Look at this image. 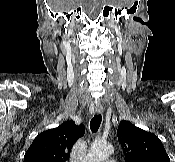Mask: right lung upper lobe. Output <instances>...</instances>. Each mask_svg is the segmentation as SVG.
Returning <instances> with one entry per match:
<instances>
[{
    "mask_svg": "<svg viewBox=\"0 0 175 162\" xmlns=\"http://www.w3.org/2000/svg\"><path fill=\"white\" fill-rule=\"evenodd\" d=\"M84 132V125H76L73 121L44 131L30 145L24 162H68L73 144Z\"/></svg>",
    "mask_w": 175,
    "mask_h": 162,
    "instance_id": "cb5924a9",
    "label": "right lung upper lobe"
}]
</instances>
